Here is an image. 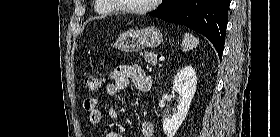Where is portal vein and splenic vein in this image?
I'll use <instances>...</instances> for the list:
<instances>
[{"instance_id": "18ae733b", "label": "portal vein and splenic vein", "mask_w": 280, "mask_h": 137, "mask_svg": "<svg viewBox=\"0 0 280 137\" xmlns=\"http://www.w3.org/2000/svg\"><path fill=\"white\" fill-rule=\"evenodd\" d=\"M162 60H164V58H163V57H161V58H160V61H162Z\"/></svg>"}]
</instances>
